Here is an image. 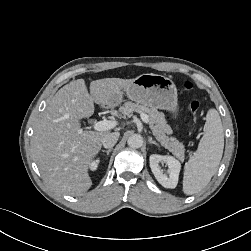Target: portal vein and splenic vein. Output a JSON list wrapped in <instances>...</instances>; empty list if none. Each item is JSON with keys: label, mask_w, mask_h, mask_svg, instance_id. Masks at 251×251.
I'll return each instance as SVG.
<instances>
[{"label": "portal vein and splenic vein", "mask_w": 251, "mask_h": 251, "mask_svg": "<svg viewBox=\"0 0 251 251\" xmlns=\"http://www.w3.org/2000/svg\"><path fill=\"white\" fill-rule=\"evenodd\" d=\"M142 121L144 123L149 122V116L145 113H141L140 115ZM117 125L116 121L112 120H103V121H98L93 125L94 130L96 131H107L110 129H113Z\"/></svg>", "instance_id": "portal-vein-and-splenic-vein-1"}]
</instances>
